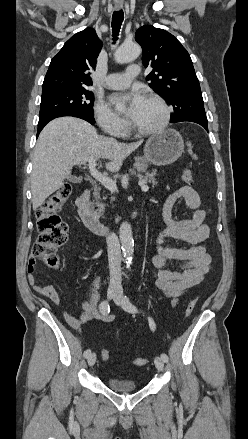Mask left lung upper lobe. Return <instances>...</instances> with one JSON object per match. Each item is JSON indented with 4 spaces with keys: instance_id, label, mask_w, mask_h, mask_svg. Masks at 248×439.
Listing matches in <instances>:
<instances>
[{
    "instance_id": "1",
    "label": "left lung upper lobe",
    "mask_w": 248,
    "mask_h": 439,
    "mask_svg": "<svg viewBox=\"0 0 248 439\" xmlns=\"http://www.w3.org/2000/svg\"><path fill=\"white\" fill-rule=\"evenodd\" d=\"M135 40L142 47V62L153 70L149 86L172 104L170 122L185 116L206 118L199 80L189 53L169 32L151 25L140 27Z\"/></svg>"
}]
</instances>
